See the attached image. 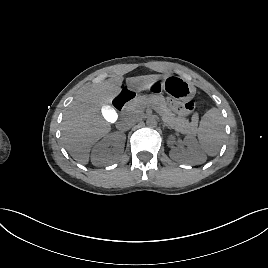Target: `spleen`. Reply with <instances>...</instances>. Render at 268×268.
Instances as JSON below:
<instances>
[{
  "mask_svg": "<svg viewBox=\"0 0 268 268\" xmlns=\"http://www.w3.org/2000/svg\"><path fill=\"white\" fill-rule=\"evenodd\" d=\"M225 137L224 118L218 108H211L201 118L198 128L200 148L209 156L219 152Z\"/></svg>",
  "mask_w": 268,
  "mask_h": 268,
  "instance_id": "obj_1",
  "label": "spleen"
}]
</instances>
